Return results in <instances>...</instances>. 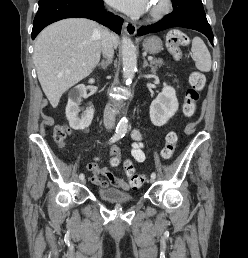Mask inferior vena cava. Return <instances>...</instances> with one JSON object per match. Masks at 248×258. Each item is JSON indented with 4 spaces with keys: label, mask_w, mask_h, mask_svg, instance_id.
<instances>
[{
    "label": "inferior vena cava",
    "mask_w": 248,
    "mask_h": 258,
    "mask_svg": "<svg viewBox=\"0 0 248 258\" xmlns=\"http://www.w3.org/2000/svg\"><path fill=\"white\" fill-rule=\"evenodd\" d=\"M102 54L107 60L112 61L114 56V48L112 34L105 29L102 39ZM115 123V113L112 109V104L108 103L104 113V126L107 130H111Z\"/></svg>",
    "instance_id": "inferior-vena-cava-1"
}]
</instances>
